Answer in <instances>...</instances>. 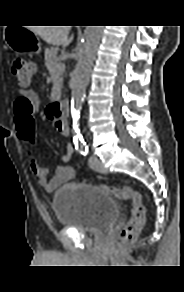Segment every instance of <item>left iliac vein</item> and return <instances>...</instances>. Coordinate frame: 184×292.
Here are the masks:
<instances>
[{"label": "left iliac vein", "instance_id": "left-iliac-vein-1", "mask_svg": "<svg viewBox=\"0 0 184 292\" xmlns=\"http://www.w3.org/2000/svg\"><path fill=\"white\" fill-rule=\"evenodd\" d=\"M89 165L93 170L99 173H103V174L107 173V170L103 166L102 162L96 156L92 155L89 157Z\"/></svg>", "mask_w": 184, "mask_h": 292}]
</instances>
